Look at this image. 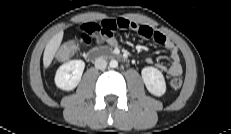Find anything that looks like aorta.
<instances>
[{
    "instance_id": "obj_1",
    "label": "aorta",
    "mask_w": 231,
    "mask_h": 134,
    "mask_svg": "<svg viewBox=\"0 0 231 134\" xmlns=\"http://www.w3.org/2000/svg\"><path fill=\"white\" fill-rule=\"evenodd\" d=\"M109 66L111 68H117L118 67V61L117 60H111L109 63Z\"/></svg>"
}]
</instances>
